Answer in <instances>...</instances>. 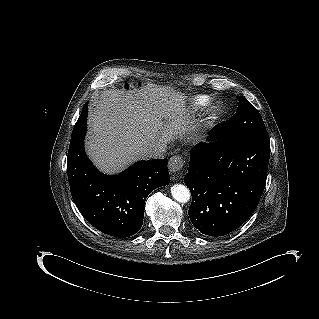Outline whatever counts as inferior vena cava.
<instances>
[{"mask_svg":"<svg viewBox=\"0 0 319 319\" xmlns=\"http://www.w3.org/2000/svg\"><path fill=\"white\" fill-rule=\"evenodd\" d=\"M145 158L148 159H162L166 153V147H146L142 149Z\"/></svg>","mask_w":319,"mask_h":319,"instance_id":"1","label":"inferior vena cava"}]
</instances>
